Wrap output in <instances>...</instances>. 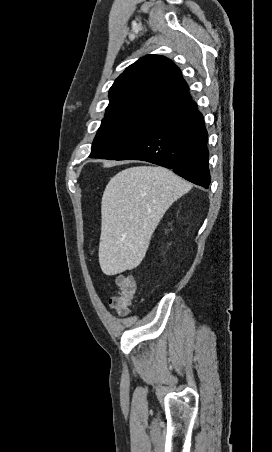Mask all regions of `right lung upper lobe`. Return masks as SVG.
I'll return each mask as SVG.
<instances>
[{"label": "right lung upper lobe", "mask_w": 272, "mask_h": 452, "mask_svg": "<svg viewBox=\"0 0 272 452\" xmlns=\"http://www.w3.org/2000/svg\"><path fill=\"white\" fill-rule=\"evenodd\" d=\"M105 117L132 111L171 113L190 101L179 68L168 58L147 55L130 65L109 91Z\"/></svg>", "instance_id": "cb5924a9"}]
</instances>
